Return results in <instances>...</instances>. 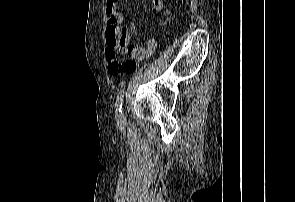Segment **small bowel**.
I'll return each mask as SVG.
<instances>
[{
	"label": "small bowel",
	"mask_w": 295,
	"mask_h": 202,
	"mask_svg": "<svg viewBox=\"0 0 295 202\" xmlns=\"http://www.w3.org/2000/svg\"><path fill=\"white\" fill-rule=\"evenodd\" d=\"M152 10L156 14L160 13L163 10V0H152ZM106 17H107L108 23L115 22L118 25L123 22V16L118 9L116 0H107ZM120 32L123 38V42L120 46V49H118V47H108L106 52L108 60H109V66H108L109 72L115 76H118L124 73H132L136 69V66L133 63H120V55H118V53L123 52L127 54L131 59L141 60L146 57H149L153 53L156 46V43L154 40H151L148 46L144 48L137 45H130L129 30L121 27ZM118 68H125V69H118Z\"/></svg>",
	"instance_id": "obj_1"
}]
</instances>
